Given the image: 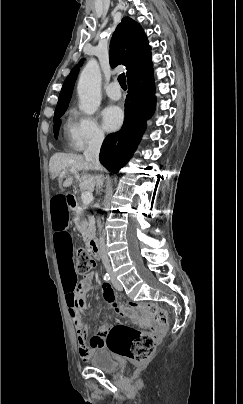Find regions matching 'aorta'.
Returning a JSON list of instances; mask_svg holds the SVG:
<instances>
[{
  "mask_svg": "<svg viewBox=\"0 0 243 404\" xmlns=\"http://www.w3.org/2000/svg\"><path fill=\"white\" fill-rule=\"evenodd\" d=\"M77 92L79 96V110L84 114H95L101 104V72L97 60H89L83 68Z\"/></svg>",
  "mask_w": 243,
  "mask_h": 404,
  "instance_id": "762f6f07",
  "label": "aorta"
}]
</instances>
